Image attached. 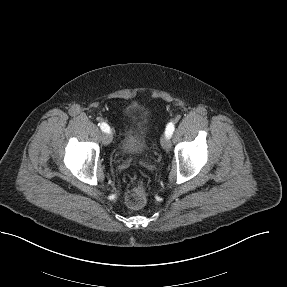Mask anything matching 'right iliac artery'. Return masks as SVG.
<instances>
[{
	"label": "right iliac artery",
	"mask_w": 287,
	"mask_h": 287,
	"mask_svg": "<svg viewBox=\"0 0 287 287\" xmlns=\"http://www.w3.org/2000/svg\"><path fill=\"white\" fill-rule=\"evenodd\" d=\"M99 126L103 132L109 133L110 127L106 123H99Z\"/></svg>",
	"instance_id": "1"
}]
</instances>
